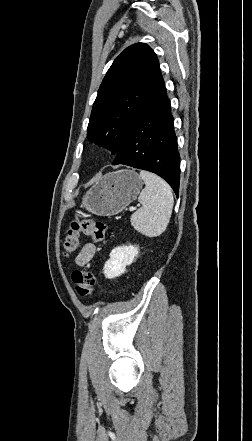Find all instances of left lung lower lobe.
Returning a JSON list of instances; mask_svg holds the SVG:
<instances>
[{
  "mask_svg": "<svg viewBox=\"0 0 252 441\" xmlns=\"http://www.w3.org/2000/svg\"><path fill=\"white\" fill-rule=\"evenodd\" d=\"M173 123L170 100L158 67L147 98L112 164L153 172L166 180L178 196L180 155Z\"/></svg>",
  "mask_w": 252,
  "mask_h": 441,
  "instance_id": "0a47b994",
  "label": "left lung lower lobe"
}]
</instances>
